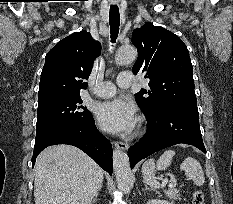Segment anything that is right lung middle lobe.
Returning a JSON list of instances; mask_svg holds the SVG:
<instances>
[{
    "instance_id": "1",
    "label": "right lung middle lobe",
    "mask_w": 233,
    "mask_h": 204,
    "mask_svg": "<svg viewBox=\"0 0 233 204\" xmlns=\"http://www.w3.org/2000/svg\"><path fill=\"white\" fill-rule=\"evenodd\" d=\"M38 103L36 139L92 118V114L81 105L80 95L51 97Z\"/></svg>"
}]
</instances>
